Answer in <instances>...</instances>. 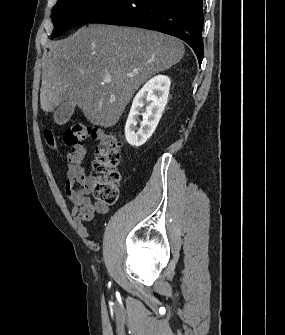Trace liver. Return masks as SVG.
I'll use <instances>...</instances> for the list:
<instances>
[{
  "label": "liver",
  "instance_id": "liver-1",
  "mask_svg": "<svg viewBox=\"0 0 285 335\" xmlns=\"http://www.w3.org/2000/svg\"><path fill=\"white\" fill-rule=\"evenodd\" d=\"M40 104L54 112L76 102L94 126L112 128L138 88L182 60V42L143 28L89 24L66 40L48 42ZM111 76V82H103ZM133 76V78H129Z\"/></svg>",
  "mask_w": 285,
  "mask_h": 335
}]
</instances>
